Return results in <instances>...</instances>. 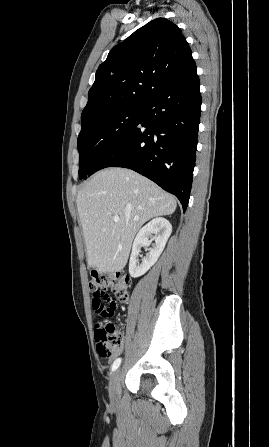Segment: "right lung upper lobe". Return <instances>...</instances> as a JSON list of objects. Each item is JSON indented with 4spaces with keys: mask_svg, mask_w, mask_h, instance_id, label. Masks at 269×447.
Here are the masks:
<instances>
[{
    "mask_svg": "<svg viewBox=\"0 0 269 447\" xmlns=\"http://www.w3.org/2000/svg\"><path fill=\"white\" fill-rule=\"evenodd\" d=\"M194 62L181 30L157 18L114 46L96 71L81 124L120 107L143 104Z\"/></svg>",
    "mask_w": 269,
    "mask_h": 447,
    "instance_id": "obj_1",
    "label": "right lung upper lobe"
}]
</instances>
